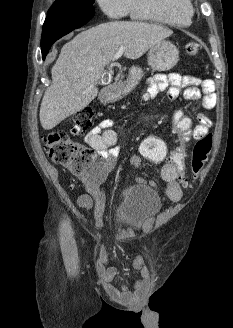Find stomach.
<instances>
[{"label": "stomach", "instance_id": "obj_1", "mask_svg": "<svg viewBox=\"0 0 233 328\" xmlns=\"http://www.w3.org/2000/svg\"><path fill=\"white\" fill-rule=\"evenodd\" d=\"M179 61V51L174 44L169 41H161L150 48L148 53V64L156 71H167L173 68ZM142 69L132 67L129 74V81L126 85L118 89L112 99H119L131 92L142 78Z\"/></svg>", "mask_w": 233, "mask_h": 328}]
</instances>
